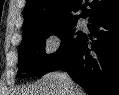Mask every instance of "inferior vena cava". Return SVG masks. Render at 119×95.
Returning <instances> with one entry per match:
<instances>
[{"instance_id": "obj_1", "label": "inferior vena cava", "mask_w": 119, "mask_h": 95, "mask_svg": "<svg viewBox=\"0 0 119 95\" xmlns=\"http://www.w3.org/2000/svg\"><path fill=\"white\" fill-rule=\"evenodd\" d=\"M64 77H65L66 81L68 82V84H70L71 83L70 77L66 73L64 74Z\"/></svg>"}]
</instances>
